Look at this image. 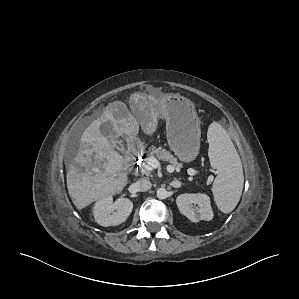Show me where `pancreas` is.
Segmentation results:
<instances>
[{"mask_svg": "<svg viewBox=\"0 0 299 299\" xmlns=\"http://www.w3.org/2000/svg\"><path fill=\"white\" fill-rule=\"evenodd\" d=\"M151 157H156L159 160L166 161L175 168L182 167V164L179 163L178 160L169 151H166L165 149L162 148L152 147L149 149L145 160L140 165V170L143 175L149 176L151 174V171L147 168L148 159Z\"/></svg>", "mask_w": 299, "mask_h": 299, "instance_id": "obj_1", "label": "pancreas"}]
</instances>
